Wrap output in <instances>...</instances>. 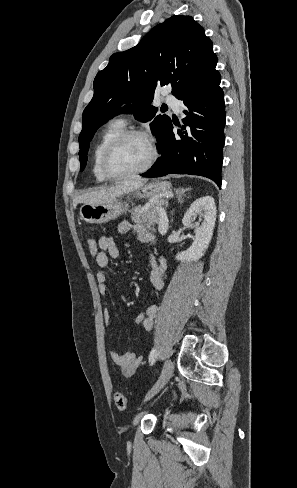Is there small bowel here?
<instances>
[{"instance_id":"small-bowel-1","label":"small bowel","mask_w":297,"mask_h":488,"mask_svg":"<svg viewBox=\"0 0 297 488\" xmlns=\"http://www.w3.org/2000/svg\"><path fill=\"white\" fill-rule=\"evenodd\" d=\"M118 231L122 234L133 231L139 242L152 245L155 243V236L146 227L140 224H131L130 222L124 221L119 224ZM98 246L99 252L95 257V261L99 267V270L96 272V281L100 293L105 295L108 291V283L104 269L108 267L110 258H118L119 249L114 238L111 236H101L98 239ZM166 266V261L163 257L157 258L154 254H150L149 278L152 286L157 290H161L164 287ZM157 313V305L147 306L144 311L138 315L136 320L137 324L144 330L151 331ZM103 315L105 322L108 323L111 318V309L108 304L104 307ZM110 356L120 370L121 375L125 378L134 377L142 364V357L129 351L120 353L112 348L110 350Z\"/></svg>"}]
</instances>
